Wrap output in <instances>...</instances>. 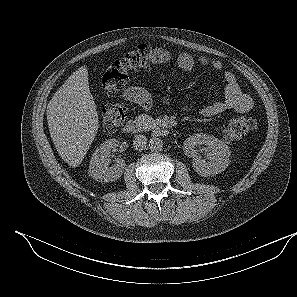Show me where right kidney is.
I'll return each instance as SVG.
<instances>
[{
  "instance_id": "obj_1",
  "label": "right kidney",
  "mask_w": 297,
  "mask_h": 297,
  "mask_svg": "<svg viewBox=\"0 0 297 297\" xmlns=\"http://www.w3.org/2000/svg\"><path fill=\"white\" fill-rule=\"evenodd\" d=\"M119 145L116 139H109L100 144L92 155L89 164V174L96 181L112 182L120 178L125 168V161L117 158L113 166L110 164V154Z\"/></svg>"
}]
</instances>
